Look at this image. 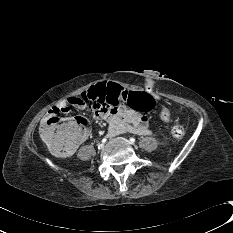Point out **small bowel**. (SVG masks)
<instances>
[{
	"mask_svg": "<svg viewBox=\"0 0 233 233\" xmlns=\"http://www.w3.org/2000/svg\"><path fill=\"white\" fill-rule=\"evenodd\" d=\"M151 96L154 99L158 98L153 95ZM67 106H71L78 110L92 111L95 119L108 122L109 132L112 135L128 132L139 136H148L152 133L148 126L147 118L138 113V110H132L129 107H115L114 105H105L104 103L90 106L87 102L83 101L81 97H71L60 107L54 108L51 113L57 109L66 108Z\"/></svg>",
	"mask_w": 233,
	"mask_h": 233,
	"instance_id": "1",
	"label": "small bowel"
}]
</instances>
